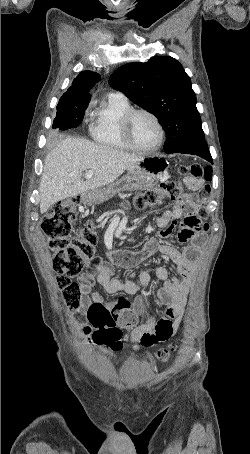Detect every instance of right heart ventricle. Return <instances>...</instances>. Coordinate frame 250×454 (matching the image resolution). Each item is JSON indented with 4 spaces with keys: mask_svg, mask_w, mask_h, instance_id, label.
Wrapping results in <instances>:
<instances>
[{
    "mask_svg": "<svg viewBox=\"0 0 250 454\" xmlns=\"http://www.w3.org/2000/svg\"><path fill=\"white\" fill-rule=\"evenodd\" d=\"M130 109L127 100L108 96L91 114L89 131L93 140L108 148L129 150L121 135L120 119Z\"/></svg>",
    "mask_w": 250,
    "mask_h": 454,
    "instance_id": "obj_1",
    "label": "right heart ventricle"
}]
</instances>
